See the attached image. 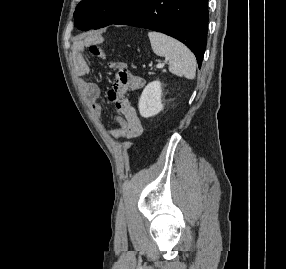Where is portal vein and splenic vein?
I'll use <instances>...</instances> for the list:
<instances>
[{
    "instance_id": "18ae733b",
    "label": "portal vein and splenic vein",
    "mask_w": 286,
    "mask_h": 269,
    "mask_svg": "<svg viewBox=\"0 0 286 269\" xmlns=\"http://www.w3.org/2000/svg\"><path fill=\"white\" fill-rule=\"evenodd\" d=\"M164 67V63H158L157 64V68H163Z\"/></svg>"
}]
</instances>
